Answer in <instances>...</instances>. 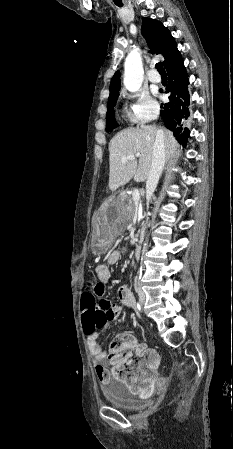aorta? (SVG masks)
Returning a JSON list of instances; mask_svg holds the SVG:
<instances>
[{
    "mask_svg": "<svg viewBox=\"0 0 233 449\" xmlns=\"http://www.w3.org/2000/svg\"><path fill=\"white\" fill-rule=\"evenodd\" d=\"M124 85L127 90L136 92L143 82V67L140 53L137 49L132 50L124 64Z\"/></svg>",
    "mask_w": 233,
    "mask_h": 449,
    "instance_id": "aorta-1",
    "label": "aorta"
}]
</instances>
